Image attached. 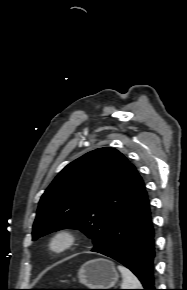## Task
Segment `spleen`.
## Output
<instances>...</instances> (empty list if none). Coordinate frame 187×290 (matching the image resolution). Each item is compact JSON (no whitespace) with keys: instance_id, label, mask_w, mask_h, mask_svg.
I'll use <instances>...</instances> for the list:
<instances>
[{"instance_id":"1","label":"spleen","mask_w":187,"mask_h":290,"mask_svg":"<svg viewBox=\"0 0 187 290\" xmlns=\"http://www.w3.org/2000/svg\"><path fill=\"white\" fill-rule=\"evenodd\" d=\"M118 270L122 274L121 289H141L142 285L137 277L123 265H118Z\"/></svg>"}]
</instances>
